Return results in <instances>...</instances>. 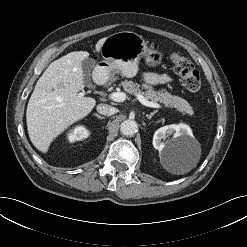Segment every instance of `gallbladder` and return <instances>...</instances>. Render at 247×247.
<instances>
[{
    "instance_id": "1",
    "label": "gallbladder",
    "mask_w": 247,
    "mask_h": 247,
    "mask_svg": "<svg viewBox=\"0 0 247 247\" xmlns=\"http://www.w3.org/2000/svg\"><path fill=\"white\" fill-rule=\"evenodd\" d=\"M94 66V60L93 59H90V58H86L85 60H83L82 62V69H83V72L86 76L85 78V83L86 85L88 86H91V80L90 78L88 77V75L90 74L92 68Z\"/></svg>"
}]
</instances>
